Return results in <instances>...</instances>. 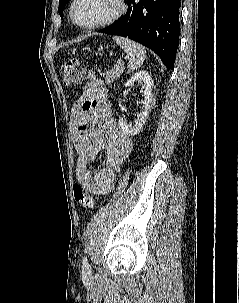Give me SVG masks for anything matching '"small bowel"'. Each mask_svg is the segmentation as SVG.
Instances as JSON below:
<instances>
[{
  "mask_svg": "<svg viewBox=\"0 0 239 303\" xmlns=\"http://www.w3.org/2000/svg\"><path fill=\"white\" fill-rule=\"evenodd\" d=\"M73 143L77 152L75 178L85 190L98 195L110 193L122 163L130 155L131 138L115 122L102 80L91 77L73 108ZM106 151L104 167L94 176L89 164Z\"/></svg>",
  "mask_w": 239,
  "mask_h": 303,
  "instance_id": "small-bowel-1",
  "label": "small bowel"
}]
</instances>
